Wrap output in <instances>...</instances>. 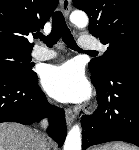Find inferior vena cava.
Masks as SVG:
<instances>
[{"label": "inferior vena cava", "instance_id": "obj_1", "mask_svg": "<svg viewBox=\"0 0 139 150\" xmlns=\"http://www.w3.org/2000/svg\"><path fill=\"white\" fill-rule=\"evenodd\" d=\"M47 125H48V122H47L46 119L41 122L42 128H46ZM39 140H40L41 150H48V148L46 146V139L44 138V136H42V135L39 134Z\"/></svg>", "mask_w": 139, "mask_h": 150}]
</instances>
